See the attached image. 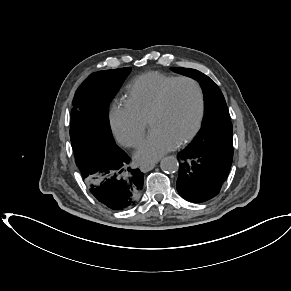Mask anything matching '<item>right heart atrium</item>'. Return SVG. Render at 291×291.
I'll use <instances>...</instances> for the list:
<instances>
[{
  "instance_id": "right-heart-atrium-1",
  "label": "right heart atrium",
  "mask_w": 291,
  "mask_h": 291,
  "mask_svg": "<svg viewBox=\"0 0 291 291\" xmlns=\"http://www.w3.org/2000/svg\"><path fill=\"white\" fill-rule=\"evenodd\" d=\"M110 124L116 139L126 147H136L143 139L147 122L125 103L116 105L110 115Z\"/></svg>"
}]
</instances>
